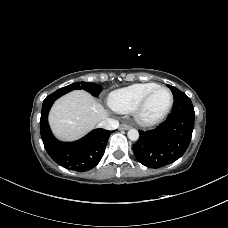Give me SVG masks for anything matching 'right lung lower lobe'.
Wrapping results in <instances>:
<instances>
[{
	"label": "right lung lower lobe",
	"instance_id": "obj_1",
	"mask_svg": "<svg viewBox=\"0 0 228 228\" xmlns=\"http://www.w3.org/2000/svg\"><path fill=\"white\" fill-rule=\"evenodd\" d=\"M62 94L52 93L43 101L40 132L44 147L49 156L61 166L75 170L88 171L101 160L110 132L105 129H95L82 139L75 142L57 140L48 124V113L56 99Z\"/></svg>",
	"mask_w": 228,
	"mask_h": 228
}]
</instances>
